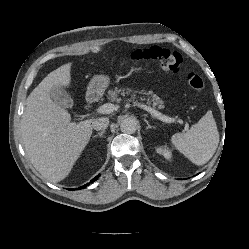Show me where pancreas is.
<instances>
[{
  "instance_id": "obj_1",
  "label": "pancreas",
  "mask_w": 249,
  "mask_h": 249,
  "mask_svg": "<svg viewBox=\"0 0 249 249\" xmlns=\"http://www.w3.org/2000/svg\"><path fill=\"white\" fill-rule=\"evenodd\" d=\"M131 90L129 88L126 89V91H122L118 88H115V90H109L108 91V99L111 101L119 102V94L121 93L122 96H125V94H130ZM148 97L142 98V100H146L147 103L152 104L154 108L162 109L164 107L163 101L156 95H152V92L145 93Z\"/></svg>"
}]
</instances>
